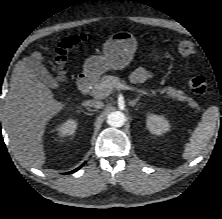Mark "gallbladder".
<instances>
[{
    "label": "gallbladder",
    "mask_w": 222,
    "mask_h": 219,
    "mask_svg": "<svg viewBox=\"0 0 222 219\" xmlns=\"http://www.w3.org/2000/svg\"><path fill=\"white\" fill-rule=\"evenodd\" d=\"M28 63H32L31 69L33 73H35L38 79L45 83L48 87L51 89H58L60 87L56 79L40 62L30 59L28 60Z\"/></svg>",
    "instance_id": "1"
}]
</instances>
